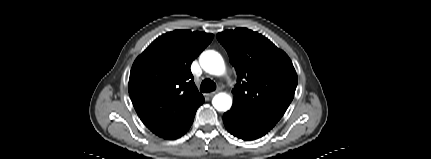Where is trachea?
Listing matches in <instances>:
<instances>
[{
    "instance_id": "3493384b",
    "label": "trachea",
    "mask_w": 431,
    "mask_h": 159,
    "mask_svg": "<svg viewBox=\"0 0 431 159\" xmlns=\"http://www.w3.org/2000/svg\"><path fill=\"white\" fill-rule=\"evenodd\" d=\"M200 89L204 93L211 92L216 89V84L210 79H205L202 81Z\"/></svg>"
}]
</instances>
